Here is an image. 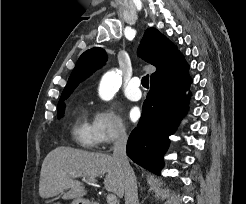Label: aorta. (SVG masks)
I'll return each instance as SVG.
<instances>
[{"label":"aorta","mask_w":246,"mask_h":204,"mask_svg":"<svg viewBox=\"0 0 246 204\" xmlns=\"http://www.w3.org/2000/svg\"><path fill=\"white\" fill-rule=\"evenodd\" d=\"M121 76L119 70L107 72L101 80L99 95L104 100H110L120 86Z\"/></svg>","instance_id":"obj_1"}]
</instances>
